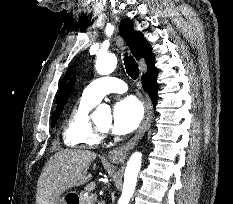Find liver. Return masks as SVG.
<instances>
[{"label": "liver", "instance_id": "6515ba94", "mask_svg": "<svg viewBox=\"0 0 233 204\" xmlns=\"http://www.w3.org/2000/svg\"><path fill=\"white\" fill-rule=\"evenodd\" d=\"M95 158L96 153L81 149L61 150L50 157L37 182L36 204H55L66 190L87 183Z\"/></svg>", "mask_w": 233, "mask_h": 204}]
</instances>
